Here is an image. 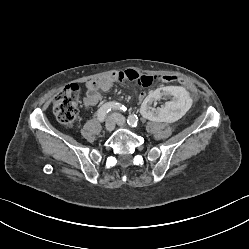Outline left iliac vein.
Here are the masks:
<instances>
[{"label":"left iliac vein","instance_id":"obj_1","mask_svg":"<svg viewBox=\"0 0 249 249\" xmlns=\"http://www.w3.org/2000/svg\"><path fill=\"white\" fill-rule=\"evenodd\" d=\"M116 122L119 126H124L125 125V118L120 114H116Z\"/></svg>","mask_w":249,"mask_h":249}]
</instances>
